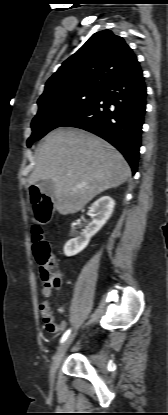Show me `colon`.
I'll list each match as a JSON object with an SVG mask.
<instances>
[{"mask_svg":"<svg viewBox=\"0 0 168 415\" xmlns=\"http://www.w3.org/2000/svg\"><path fill=\"white\" fill-rule=\"evenodd\" d=\"M31 203L35 224L32 228V250L45 284L55 286L59 283V270L56 259L46 241L42 225L51 218V202L39 190L31 192Z\"/></svg>","mask_w":168,"mask_h":415,"instance_id":"1","label":"colon"}]
</instances>
